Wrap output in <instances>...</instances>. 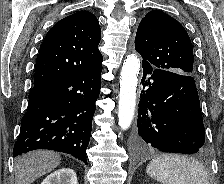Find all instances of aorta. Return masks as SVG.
<instances>
[{
  "label": "aorta",
  "mask_w": 224,
  "mask_h": 184,
  "mask_svg": "<svg viewBox=\"0 0 224 184\" xmlns=\"http://www.w3.org/2000/svg\"><path fill=\"white\" fill-rule=\"evenodd\" d=\"M139 70V58L134 54L127 56L120 75L118 124L122 130H127L130 127L134 117Z\"/></svg>",
  "instance_id": "1"
}]
</instances>
